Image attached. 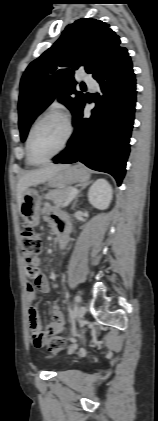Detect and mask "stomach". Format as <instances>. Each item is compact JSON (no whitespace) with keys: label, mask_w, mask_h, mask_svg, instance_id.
I'll return each instance as SVG.
<instances>
[{"label":"stomach","mask_w":158,"mask_h":421,"mask_svg":"<svg viewBox=\"0 0 158 421\" xmlns=\"http://www.w3.org/2000/svg\"><path fill=\"white\" fill-rule=\"evenodd\" d=\"M89 178V171L81 164L68 165L56 172L48 180V185L54 188H63L74 183H84ZM40 204L41 199L38 192L35 189L28 188L23 194L19 212L25 223L31 227L39 224Z\"/></svg>","instance_id":"obj_1"}]
</instances>
